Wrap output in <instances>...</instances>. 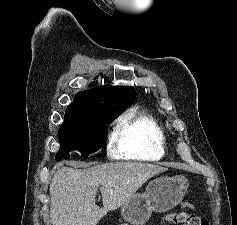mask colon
I'll list each match as a JSON object with an SVG mask.
<instances>
[{"mask_svg": "<svg viewBox=\"0 0 237 225\" xmlns=\"http://www.w3.org/2000/svg\"><path fill=\"white\" fill-rule=\"evenodd\" d=\"M167 221L179 225H210L208 220L198 215L186 213L180 210L168 215Z\"/></svg>", "mask_w": 237, "mask_h": 225, "instance_id": "obj_1", "label": "colon"}]
</instances>
